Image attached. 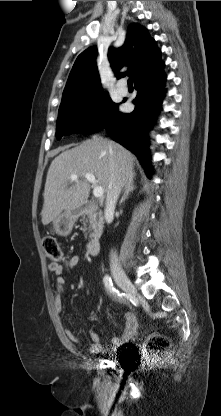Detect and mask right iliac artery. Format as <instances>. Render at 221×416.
I'll return each mask as SVG.
<instances>
[{
  "label": "right iliac artery",
  "mask_w": 221,
  "mask_h": 416,
  "mask_svg": "<svg viewBox=\"0 0 221 416\" xmlns=\"http://www.w3.org/2000/svg\"><path fill=\"white\" fill-rule=\"evenodd\" d=\"M103 282L105 284L106 289L108 290V292L113 295L114 297H117L119 299H123L124 298V293L119 292L113 285L112 279L109 275H105V277L103 278Z\"/></svg>",
  "instance_id": "right-iliac-artery-1"
}]
</instances>
